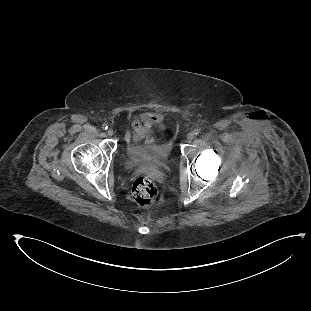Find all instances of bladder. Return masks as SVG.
<instances>
[{"mask_svg":"<svg viewBox=\"0 0 311 311\" xmlns=\"http://www.w3.org/2000/svg\"><path fill=\"white\" fill-rule=\"evenodd\" d=\"M121 153L132 168L162 170L172 156V146L160 143L155 138L145 137L137 146L129 134L123 137Z\"/></svg>","mask_w":311,"mask_h":311,"instance_id":"obj_1","label":"bladder"}]
</instances>
